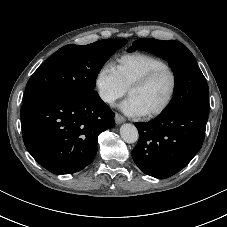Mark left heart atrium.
<instances>
[{"label": "left heart atrium", "mask_w": 227, "mask_h": 227, "mask_svg": "<svg viewBox=\"0 0 227 227\" xmlns=\"http://www.w3.org/2000/svg\"><path fill=\"white\" fill-rule=\"evenodd\" d=\"M119 108L129 116H142L144 114L135 99L130 96L119 105Z\"/></svg>", "instance_id": "39dd6f15"}]
</instances>
